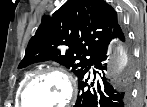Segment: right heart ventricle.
<instances>
[{
	"label": "right heart ventricle",
	"instance_id": "1",
	"mask_svg": "<svg viewBox=\"0 0 147 107\" xmlns=\"http://www.w3.org/2000/svg\"><path fill=\"white\" fill-rule=\"evenodd\" d=\"M31 73L30 72H25L23 73V75L21 76V79L18 83V87H17V96H19L20 90L22 88V86L24 85V83L27 81V79L30 77Z\"/></svg>",
	"mask_w": 147,
	"mask_h": 107
}]
</instances>
